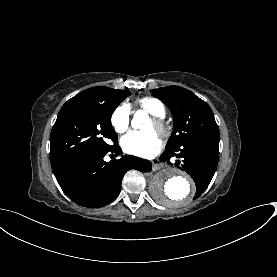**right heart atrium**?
Instances as JSON below:
<instances>
[{
    "instance_id": "1",
    "label": "right heart atrium",
    "mask_w": 277,
    "mask_h": 277,
    "mask_svg": "<svg viewBox=\"0 0 277 277\" xmlns=\"http://www.w3.org/2000/svg\"><path fill=\"white\" fill-rule=\"evenodd\" d=\"M111 123L116 132H126L130 127L129 109L126 106H119L111 116Z\"/></svg>"
}]
</instances>
